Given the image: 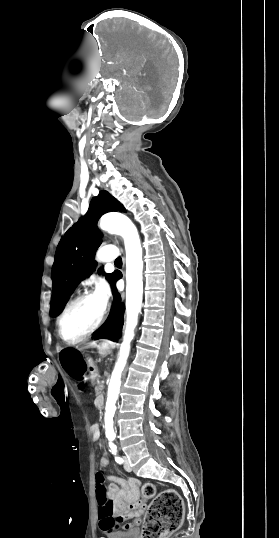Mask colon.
Segmentation results:
<instances>
[{
    "label": "colon",
    "instance_id": "5ec220e1",
    "mask_svg": "<svg viewBox=\"0 0 279 538\" xmlns=\"http://www.w3.org/2000/svg\"><path fill=\"white\" fill-rule=\"evenodd\" d=\"M104 482L105 476L101 472H97L95 483L99 516L107 518L114 515L115 509ZM142 495L144 499L151 500L142 528V538H169L179 528L183 520L184 504L182 498L173 489L156 494L155 486L150 483L143 486Z\"/></svg>",
    "mask_w": 279,
    "mask_h": 538
}]
</instances>
